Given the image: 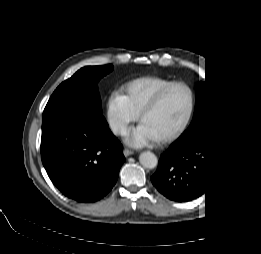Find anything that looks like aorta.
Wrapping results in <instances>:
<instances>
[{
    "instance_id": "762f6f07",
    "label": "aorta",
    "mask_w": 261,
    "mask_h": 254,
    "mask_svg": "<svg viewBox=\"0 0 261 254\" xmlns=\"http://www.w3.org/2000/svg\"><path fill=\"white\" fill-rule=\"evenodd\" d=\"M139 162L143 167L147 169H153L157 166L158 159L154 153L146 151L140 154Z\"/></svg>"
}]
</instances>
